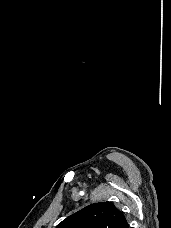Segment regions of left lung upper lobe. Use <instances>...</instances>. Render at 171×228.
I'll use <instances>...</instances> for the list:
<instances>
[{
	"label": "left lung upper lobe",
	"mask_w": 171,
	"mask_h": 228,
	"mask_svg": "<svg viewBox=\"0 0 171 228\" xmlns=\"http://www.w3.org/2000/svg\"><path fill=\"white\" fill-rule=\"evenodd\" d=\"M127 220L111 202L88 205L58 224L56 228H122Z\"/></svg>",
	"instance_id": "1"
}]
</instances>
